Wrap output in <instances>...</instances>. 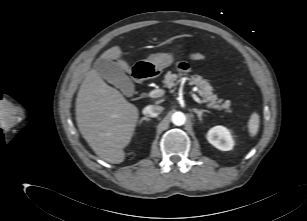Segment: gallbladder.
<instances>
[{
    "label": "gallbladder",
    "instance_id": "1",
    "mask_svg": "<svg viewBox=\"0 0 307 221\" xmlns=\"http://www.w3.org/2000/svg\"><path fill=\"white\" fill-rule=\"evenodd\" d=\"M94 69L103 79L119 88L126 96H131L134 93L132 80L117 62L98 58L94 63Z\"/></svg>",
    "mask_w": 307,
    "mask_h": 221
}]
</instances>
